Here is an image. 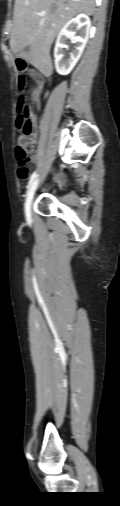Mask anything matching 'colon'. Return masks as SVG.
<instances>
[{"label": "colon", "instance_id": "5ec220e1", "mask_svg": "<svg viewBox=\"0 0 120 506\" xmlns=\"http://www.w3.org/2000/svg\"><path fill=\"white\" fill-rule=\"evenodd\" d=\"M16 62L18 63L19 69L21 71L26 70V63L23 61L22 56L16 57ZM26 77L25 75L20 76L19 84L22 88L25 85ZM18 119L17 125L20 131V136L18 138V144L16 147V157L18 160V176L21 179H26L29 175V168L27 166V161L29 158V153L34 149L36 138L34 134V119L33 115L29 109L27 99L24 96H21L18 100Z\"/></svg>", "mask_w": 120, "mask_h": 506}]
</instances>
